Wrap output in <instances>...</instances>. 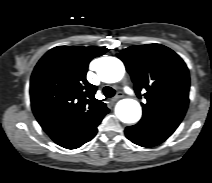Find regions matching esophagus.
Segmentation results:
<instances>
[{
    "label": "esophagus",
    "instance_id": "obj_1",
    "mask_svg": "<svg viewBox=\"0 0 212 183\" xmlns=\"http://www.w3.org/2000/svg\"><path fill=\"white\" fill-rule=\"evenodd\" d=\"M123 97V93L122 92H118L113 98H112V101L115 102L117 101L118 99L122 98Z\"/></svg>",
    "mask_w": 212,
    "mask_h": 183
}]
</instances>
